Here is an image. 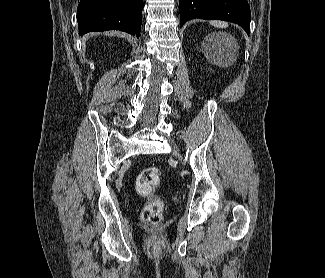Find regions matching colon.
<instances>
[{
	"instance_id": "obj_1",
	"label": "colon",
	"mask_w": 325,
	"mask_h": 278,
	"mask_svg": "<svg viewBox=\"0 0 325 278\" xmlns=\"http://www.w3.org/2000/svg\"><path fill=\"white\" fill-rule=\"evenodd\" d=\"M161 178V170L157 167L143 169L137 177L136 187L139 193L148 198V203L142 211V220L151 226H158L162 221L163 202L155 194Z\"/></svg>"
}]
</instances>
